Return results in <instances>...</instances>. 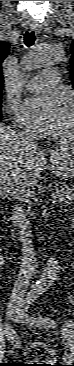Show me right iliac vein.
Listing matches in <instances>:
<instances>
[{
    "instance_id": "1",
    "label": "right iliac vein",
    "mask_w": 74,
    "mask_h": 366,
    "mask_svg": "<svg viewBox=\"0 0 74 366\" xmlns=\"http://www.w3.org/2000/svg\"><path fill=\"white\" fill-rule=\"evenodd\" d=\"M10 315H12V318L15 320L19 319V312L17 310V307H12V309L10 310Z\"/></svg>"
}]
</instances>
